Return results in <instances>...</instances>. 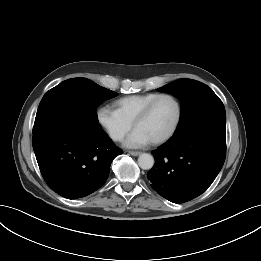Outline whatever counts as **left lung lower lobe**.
Returning a JSON list of instances; mask_svg holds the SVG:
<instances>
[{
	"label": "left lung lower lobe",
	"instance_id": "left-lung-lower-lobe-1",
	"mask_svg": "<svg viewBox=\"0 0 261 261\" xmlns=\"http://www.w3.org/2000/svg\"><path fill=\"white\" fill-rule=\"evenodd\" d=\"M147 173L152 188L173 203L190 201L205 192L221 170L226 155V123L171 137L152 151Z\"/></svg>",
	"mask_w": 261,
	"mask_h": 261
}]
</instances>
